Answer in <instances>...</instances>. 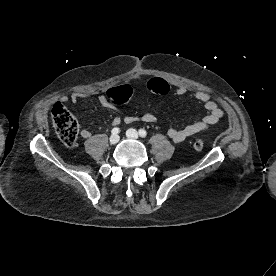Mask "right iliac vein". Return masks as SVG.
I'll return each instance as SVG.
<instances>
[{"instance_id":"1","label":"right iliac vein","mask_w":276,"mask_h":276,"mask_svg":"<svg viewBox=\"0 0 276 276\" xmlns=\"http://www.w3.org/2000/svg\"><path fill=\"white\" fill-rule=\"evenodd\" d=\"M119 139L120 137L118 134H112L109 141L112 145H115L119 142Z\"/></svg>"}]
</instances>
